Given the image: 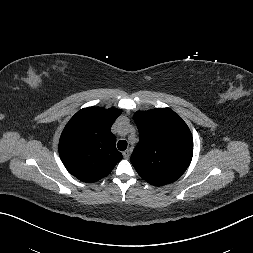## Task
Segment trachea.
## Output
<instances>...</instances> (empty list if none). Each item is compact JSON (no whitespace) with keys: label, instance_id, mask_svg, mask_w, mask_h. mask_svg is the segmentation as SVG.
<instances>
[{"label":"trachea","instance_id":"3493384b","mask_svg":"<svg viewBox=\"0 0 253 253\" xmlns=\"http://www.w3.org/2000/svg\"><path fill=\"white\" fill-rule=\"evenodd\" d=\"M117 147L120 151H124L127 148V142L125 140H120L117 143Z\"/></svg>","mask_w":253,"mask_h":253}]
</instances>
